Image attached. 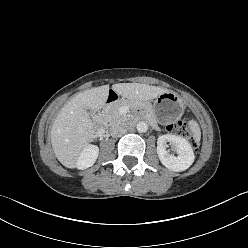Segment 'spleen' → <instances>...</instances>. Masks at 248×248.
<instances>
[{"label":"spleen","mask_w":248,"mask_h":248,"mask_svg":"<svg viewBox=\"0 0 248 248\" xmlns=\"http://www.w3.org/2000/svg\"><path fill=\"white\" fill-rule=\"evenodd\" d=\"M189 128L192 131L194 138L199 141L201 136V131L198 123L194 120L189 121Z\"/></svg>","instance_id":"1"}]
</instances>
